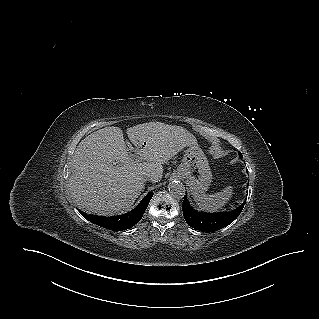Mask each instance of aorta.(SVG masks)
Wrapping results in <instances>:
<instances>
[{"label":"aorta","mask_w":319,"mask_h":319,"mask_svg":"<svg viewBox=\"0 0 319 319\" xmlns=\"http://www.w3.org/2000/svg\"><path fill=\"white\" fill-rule=\"evenodd\" d=\"M168 189L171 195L178 198L184 197L186 192L185 186L179 181L169 183Z\"/></svg>","instance_id":"1"}]
</instances>
